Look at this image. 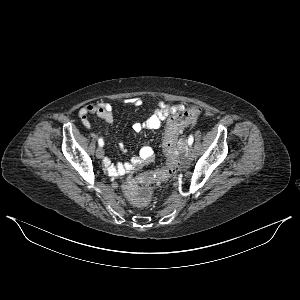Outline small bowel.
<instances>
[{"instance_id": "small-bowel-1", "label": "small bowel", "mask_w": 300, "mask_h": 300, "mask_svg": "<svg viewBox=\"0 0 300 300\" xmlns=\"http://www.w3.org/2000/svg\"><path fill=\"white\" fill-rule=\"evenodd\" d=\"M128 104L133 106H140L142 101L140 98H130L126 101ZM180 105L169 106L164 102H159L158 107L143 121H137L132 125L135 132H140L143 129H157L159 128L164 120L177 110L181 109ZM90 115H98L106 122L111 123L113 121V106L110 103H90L82 107L78 116L81 120L82 125L89 129L91 124L89 121ZM119 147L123 149V145L120 144ZM154 152L150 147L144 146L139 150L137 156H135L130 162L116 163L113 164L108 157L103 160V166L105 170L113 176L123 175L135 168L142 167L153 161Z\"/></svg>"}]
</instances>
